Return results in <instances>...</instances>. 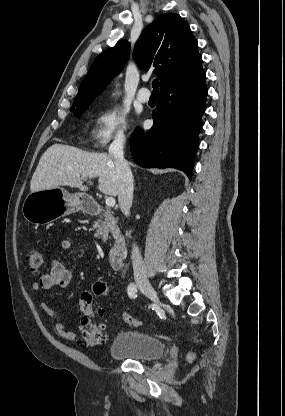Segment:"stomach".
Wrapping results in <instances>:
<instances>
[{
  "mask_svg": "<svg viewBox=\"0 0 285 416\" xmlns=\"http://www.w3.org/2000/svg\"><path fill=\"white\" fill-rule=\"evenodd\" d=\"M82 210L80 194H69L64 188H50L31 192L24 200L22 214L31 224L44 226L58 218L70 216Z\"/></svg>",
  "mask_w": 285,
  "mask_h": 416,
  "instance_id": "stomach-1",
  "label": "stomach"
}]
</instances>
